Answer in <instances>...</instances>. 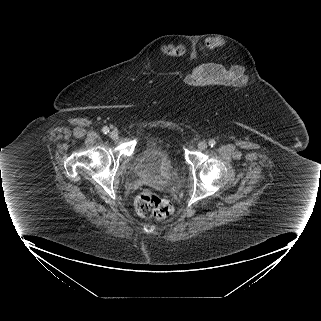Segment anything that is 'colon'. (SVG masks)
I'll return each mask as SVG.
<instances>
[{
    "label": "colon",
    "instance_id": "1",
    "mask_svg": "<svg viewBox=\"0 0 321 321\" xmlns=\"http://www.w3.org/2000/svg\"><path fill=\"white\" fill-rule=\"evenodd\" d=\"M218 47L215 39H210L204 46V50H211ZM165 53L172 57H183L187 51L182 45H169L165 47ZM137 213L144 218L164 219L169 217L173 212L172 204L158 197L151 190L140 192L134 202Z\"/></svg>",
    "mask_w": 321,
    "mask_h": 321
}]
</instances>
